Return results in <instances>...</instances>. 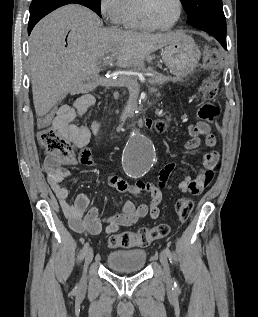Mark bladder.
Masks as SVG:
<instances>
[{
    "mask_svg": "<svg viewBox=\"0 0 258 317\" xmlns=\"http://www.w3.org/2000/svg\"><path fill=\"white\" fill-rule=\"evenodd\" d=\"M147 253L143 249L115 250L106 256L107 265L116 271H140L145 267Z\"/></svg>",
    "mask_w": 258,
    "mask_h": 317,
    "instance_id": "bladder-1",
    "label": "bladder"
}]
</instances>
